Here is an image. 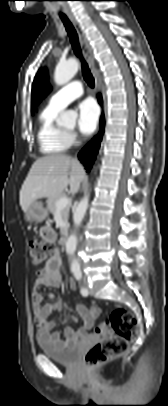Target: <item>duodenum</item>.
I'll return each mask as SVG.
<instances>
[{
  "instance_id": "duodenum-1",
  "label": "duodenum",
  "mask_w": 168,
  "mask_h": 406,
  "mask_svg": "<svg viewBox=\"0 0 168 406\" xmlns=\"http://www.w3.org/2000/svg\"><path fill=\"white\" fill-rule=\"evenodd\" d=\"M67 243H68V232L65 230L60 238V244L65 247Z\"/></svg>"
}]
</instances>
